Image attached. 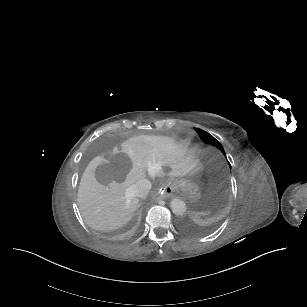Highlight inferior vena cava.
<instances>
[{"label":"inferior vena cava","instance_id":"inferior-vena-cava-1","mask_svg":"<svg viewBox=\"0 0 307 307\" xmlns=\"http://www.w3.org/2000/svg\"><path fill=\"white\" fill-rule=\"evenodd\" d=\"M151 182L147 179H140L133 186V191L137 197H146L151 189Z\"/></svg>","mask_w":307,"mask_h":307}]
</instances>
